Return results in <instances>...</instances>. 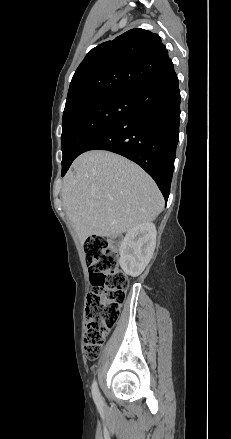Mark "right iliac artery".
<instances>
[{
    "instance_id": "obj_1",
    "label": "right iliac artery",
    "mask_w": 231,
    "mask_h": 439,
    "mask_svg": "<svg viewBox=\"0 0 231 439\" xmlns=\"http://www.w3.org/2000/svg\"><path fill=\"white\" fill-rule=\"evenodd\" d=\"M92 395H93V399H94L96 405L98 407H102L103 406V400H102V396H101V394L99 392L98 385H97L96 381H94L93 384H92Z\"/></svg>"
}]
</instances>
